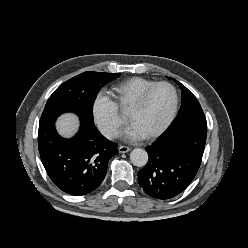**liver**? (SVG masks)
I'll return each instance as SVG.
<instances>
[{"label": "liver", "instance_id": "liver-1", "mask_svg": "<svg viewBox=\"0 0 248 248\" xmlns=\"http://www.w3.org/2000/svg\"><path fill=\"white\" fill-rule=\"evenodd\" d=\"M57 129L65 137L72 136L78 129V117L72 113L62 115L57 120Z\"/></svg>", "mask_w": 248, "mask_h": 248}]
</instances>
